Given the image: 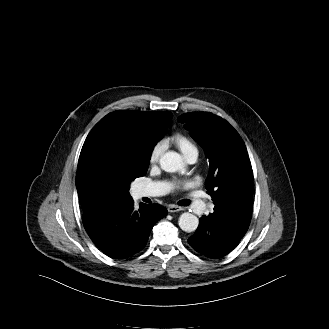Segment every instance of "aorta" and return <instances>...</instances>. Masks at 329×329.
<instances>
[{
	"instance_id": "762f6f07",
	"label": "aorta",
	"mask_w": 329,
	"mask_h": 329,
	"mask_svg": "<svg viewBox=\"0 0 329 329\" xmlns=\"http://www.w3.org/2000/svg\"><path fill=\"white\" fill-rule=\"evenodd\" d=\"M162 170L166 172H177L184 170L183 159L180 154L174 151H168L161 156L159 160ZM179 227L185 232H193L197 229L199 220L197 216L185 212L179 217Z\"/></svg>"
}]
</instances>
